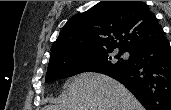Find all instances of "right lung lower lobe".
<instances>
[{
  "mask_svg": "<svg viewBox=\"0 0 171 110\" xmlns=\"http://www.w3.org/2000/svg\"><path fill=\"white\" fill-rule=\"evenodd\" d=\"M132 56L129 66L105 74L124 84L146 110H171V48L165 36Z\"/></svg>",
  "mask_w": 171,
  "mask_h": 110,
  "instance_id": "98d812e1",
  "label": "right lung lower lobe"
}]
</instances>
